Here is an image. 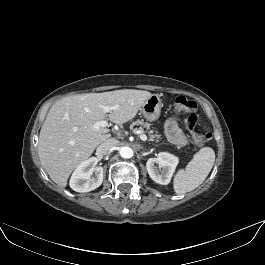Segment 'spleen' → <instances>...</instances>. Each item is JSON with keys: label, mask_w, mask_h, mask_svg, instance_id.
Masks as SVG:
<instances>
[{"label": "spleen", "mask_w": 265, "mask_h": 265, "mask_svg": "<svg viewBox=\"0 0 265 265\" xmlns=\"http://www.w3.org/2000/svg\"><path fill=\"white\" fill-rule=\"evenodd\" d=\"M215 162V152L210 147L199 150L185 169L179 170L173 180L176 194H184L204 182Z\"/></svg>", "instance_id": "obj_1"}]
</instances>
